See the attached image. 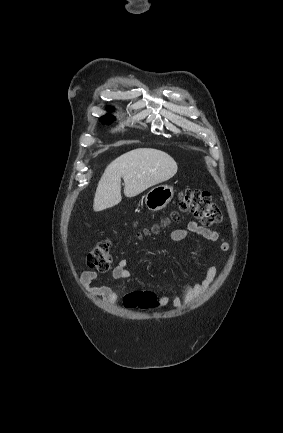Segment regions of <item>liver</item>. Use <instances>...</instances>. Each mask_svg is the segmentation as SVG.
Here are the masks:
<instances>
[{
    "instance_id": "obj_1",
    "label": "liver",
    "mask_w": 283,
    "mask_h": 433,
    "mask_svg": "<svg viewBox=\"0 0 283 433\" xmlns=\"http://www.w3.org/2000/svg\"><path fill=\"white\" fill-rule=\"evenodd\" d=\"M174 158L157 148H134L112 160L96 188L93 208L104 210L121 202V176L125 196H136L149 186L168 180L177 172Z\"/></svg>"
}]
</instances>
